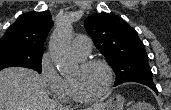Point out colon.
Returning a JSON list of instances; mask_svg holds the SVG:
<instances>
[{
	"instance_id": "1",
	"label": "colon",
	"mask_w": 171,
	"mask_h": 110,
	"mask_svg": "<svg viewBox=\"0 0 171 110\" xmlns=\"http://www.w3.org/2000/svg\"><path fill=\"white\" fill-rule=\"evenodd\" d=\"M128 110H136V106H131Z\"/></svg>"
}]
</instances>
